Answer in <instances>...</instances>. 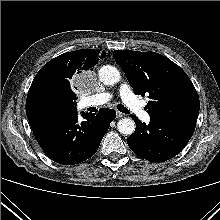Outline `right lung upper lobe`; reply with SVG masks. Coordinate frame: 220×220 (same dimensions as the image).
Returning <instances> with one entry per match:
<instances>
[{"label":"right lung upper lobe","instance_id":"cb5924a9","mask_svg":"<svg viewBox=\"0 0 220 220\" xmlns=\"http://www.w3.org/2000/svg\"><path fill=\"white\" fill-rule=\"evenodd\" d=\"M106 52L83 49L67 52L46 63L36 74L32 81L31 90L34 86L43 82H53L60 86L71 89V81L75 75L93 70L97 63L98 57H105Z\"/></svg>","mask_w":220,"mask_h":220}]
</instances>
